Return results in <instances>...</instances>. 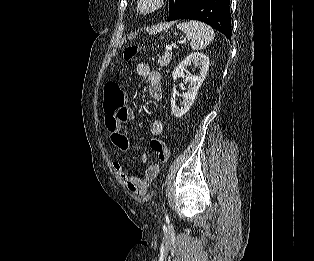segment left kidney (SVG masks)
<instances>
[{"label": "left kidney", "instance_id": "obj_1", "mask_svg": "<svg viewBox=\"0 0 314 261\" xmlns=\"http://www.w3.org/2000/svg\"><path fill=\"white\" fill-rule=\"evenodd\" d=\"M193 64L195 67H199L200 71L194 76H185V69ZM209 70V58L203 53L195 52L188 55L172 72L173 80L183 76L185 81L189 83V88L186 93H183V101L180 103V107L176 105L175 99H171L172 113L175 117L180 118L188 112L191 105L193 104L197 92L205 80Z\"/></svg>", "mask_w": 314, "mask_h": 261}]
</instances>
